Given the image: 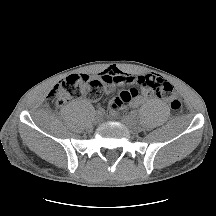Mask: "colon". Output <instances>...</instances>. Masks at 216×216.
<instances>
[{"mask_svg": "<svg viewBox=\"0 0 216 216\" xmlns=\"http://www.w3.org/2000/svg\"><path fill=\"white\" fill-rule=\"evenodd\" d=\"M140 85L165 100L175 113L181 112V99L169 82L156 75H150L141 80ZM103 88V83L99 79L85 74H73L60 81L49 96L57 107H63L75 96H83L92 101L98 100L103 94ZM137 94L138 90L135 87L121 91L113 99L111 108L113 110L120 108L130 102Z\"/></svg>", "mask_w": 216, "mask_h": 216, "instance_id": "obj_1", "label": "colon"}]
</instances>
